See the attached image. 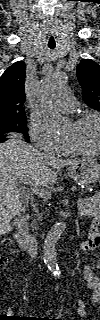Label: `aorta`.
<instances>
[{"label":"aorta","mask_w":100,"mask_h":320,"mask_svg":"<svg viewBox=\"0 0 100 320\" xmlns=\"http://www.w3.org/2000/svg\"><path fill=\"white\" fill-rule=\"evenodd\" d=\"M66 78L64 72H53L40 85L38 99L42 117L45 124L54 131L63 130L69 125V120L53 107V102L64 88ZM65 228V222L56 223L47 233L43 246L44 263L57 278L61 277V271L56 259V244Z\"/></svg>","instance_id":"aorta-1"}]
</instances>
